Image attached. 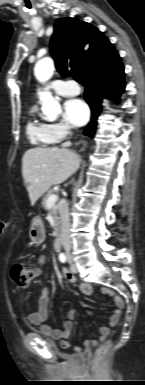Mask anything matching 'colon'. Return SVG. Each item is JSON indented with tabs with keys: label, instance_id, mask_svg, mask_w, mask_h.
<instances>
[{
	"label": "colon",
	"instance_id": "5ec220e1",
	"mask_svg": "<svg viewBox=\"0 0 145 385\" xmlns=\"http://www.w3.org/2000/svg\"><path fill=\"white\" fill-rule=\"evenodd\" d=\"M34 267L31 263L19 262L16 263L12 268V278L21 287L29 285L34 277ZM110 349V342L106 341L101 344L96 351L95 363L96 365L101 364L105 359Z\"/></svg>",
	"mask_w": 145,
	"mask_h": 385
}]
</instances>
